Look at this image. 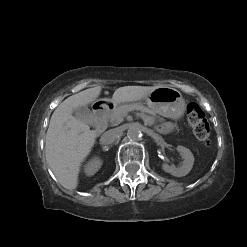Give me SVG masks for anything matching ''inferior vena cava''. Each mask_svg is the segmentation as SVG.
Here are the masks:
<instances>
[{"label": "inferior vena cava", "instance_id": "obj_1", "mask_svg": "<svg viewBox=\"0 0 247 247\" xmlns=\"http://www.w3.org/2000/svg\"><path fill=\"white\" fill-rule=\"evenodd\" d=\"M121 134V131L117 128L106 131L100 138L102 145L112 144Z\"/></svg>", "mask_w": 247, "mask_h": 247}]
</instances>
